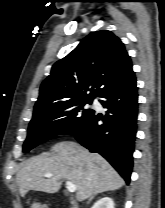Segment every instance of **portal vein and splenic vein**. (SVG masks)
I'll return each instance as SVG.
<instances>
[{
	"label": "portal vein and splenic vein",
	"instance_id": "18ae733b",
	"mask_svg": "<svg viewBox=\"0 0 165 208\" xmlns=\"http://www.w3.org/2000/svg\"><path fill=\"white\" fill-rule=\"evenodd\" d=\"M52 176H53V175H52L51 173H46V174L44 175V177H46V178H51ZM66 187H67L68 191L71 192V193H73V192L76 191V185L73 184V183L70 182V181H66Z\"/></svg>",
	"mask_w": 165,
	"mask_h": 208
}]
</instances>
